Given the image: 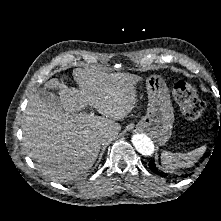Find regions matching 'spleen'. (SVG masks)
I'll list each match as a JSON object with an SVG mask.
<instances>
[{
	"label": "spleen",
	"mask_w": 221,
	"mask_h": 221,
	"mask_svg": "<svg viewBox=\"0 0 221 221\" xmlns=\"http://www.w3.org/2000/svg\"><path fill=\"white\" fill-rule=\"evenodd\" d=\"M206 146L203 145L187 153H171L163 151L161 154V163L165 171H174L178 168H188L204 154Z\"/></svg>",
	"instance_id": "1"
}]
</instances>
